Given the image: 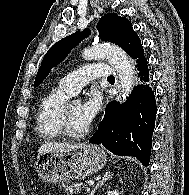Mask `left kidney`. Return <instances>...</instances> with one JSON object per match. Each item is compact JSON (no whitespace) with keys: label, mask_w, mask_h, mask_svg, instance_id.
Instances as JSON below:
<instances>
[{"label":"left kidney","mask_w":189,"mask_h":195,"mask_svg":"<svg viewBox=\"0 0 189 195\" xmlns=\"http://www.w3.org/2000/svg\"><path fill=\"white\" fill-rule=\"evenodd\" d=\"M108 195H119L118 191L115 190V191H109L108 192Z\"/></svg>","instance_id":"left-kidney-1"}]
</instances>
